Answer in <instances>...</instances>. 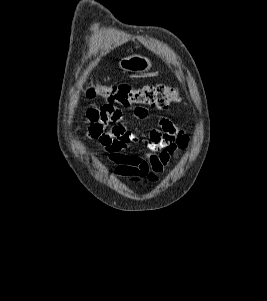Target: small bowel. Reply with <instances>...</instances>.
<instances>
[{
    "mask_svg": "<svg viewBox=\"0 0 267 301\" xmlns=\"http://www.w3.org/2000/svg\"><path fill=\"white\" fill-rule=\"evenodd\" d=\"M138 120L148 118V109L134 108ZM84 124L87 137L94 139L106 153V163L114 165L113 175L126 178L129 182L159 180L170 159L179 149L189 145V138L169 118L160 117L158 128L153 129L143 140L147 149L144 155L130 152V147L139 138L131 132L124 120L122 110L114 103L101 106L91 105L85 114Z\"/></svg>",
    "mask_w": 267,
    "mask_h": 301,
    "instance_id": "1",
    "label": "small bowel"
}]
</instances>
